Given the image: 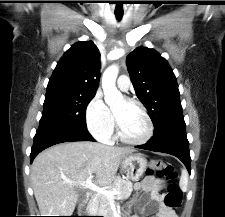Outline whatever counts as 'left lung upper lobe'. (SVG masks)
Instances as JSON below:
<instances>
[{"mask_svg":"<svg viewBox=\"0 0 225 217\" xmlns=\"http://www.w3.org/2000/svg\"><path fill=\"white\" fill-rule=\"evenodd\" d=\"M127 69L139 100L149 112L154 133L185 123L175 75L155 50L140 47L127 56Z\"/></svg>","mask_w":225,"mask_h":217,"instance_id":"left-lung-upper-lobe-1","label":"left lung upper lobe"}]
</instances>
